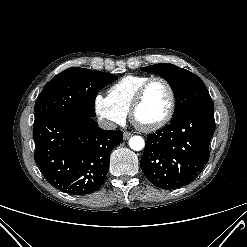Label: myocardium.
Wrapping results in <instances>:
<instances>
[{"instance_id": "obj_1", "label": "myocardium", "mask_w": 247, "mask_h": 247, "mask_svg": "<svg viewBox=\"0 0 247 247\" xmlns=\"http://www.w3.org/2000/svg\"><path fill=\"white\" fill-rule=\"evenodd\" d=\"M155 81H160L162 83H164L169 91V95H170V105H169V109L166 113V115L159 120L156 123L150 124V125H142L139 124L136 121L135 115H136V111L138 109V107L141 105V103L143 102L145 95L147 93L148 88L150 87V85L155 82ZM175 108H176V92L175 89L173 87V85L171 84V82L166 79L165 77L162 76H152L150 78H148L138 89V91L136 92L131 106H130V116L131 118L145 131H155L158 130L162 127H164L166 124H168L170 122V120L172 119L174 113H175Z\"/></svg>"}]
</instances>
